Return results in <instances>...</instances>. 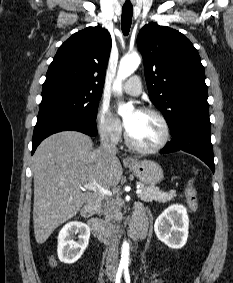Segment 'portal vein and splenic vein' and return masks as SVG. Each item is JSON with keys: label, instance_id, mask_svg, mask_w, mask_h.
Returning a JSON list of instances; mask_svg holds the SVG:
<instances>
[{"label": "portal vein and splenic vein", "instance_id": "18ae733b", "mask_svg": "<svg viewBox=\"0 0 233 283\" xmlns=\"http://www.w3.org/2000/svg\"><path fill=\"white\" fill-rule=\"evenodd\" d=\"M82 188H86L88 190L100 192L103 195H109V196L112 195V192L110 190L102 187L101 185L97 184L96 182L87 183V184L83 185ZM141 192H142V190L140 188H137L136 194H140Z\"/></svg>", "mask_w": 233, "mask_h": 283}]
</instances>
